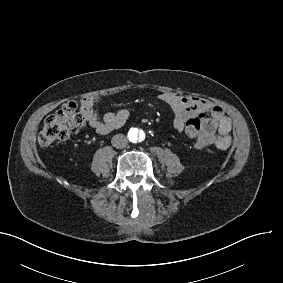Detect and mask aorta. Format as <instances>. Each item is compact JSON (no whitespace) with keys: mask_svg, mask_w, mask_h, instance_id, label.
Segmentation results:
<instances>
[{"mask_svg":"<svg viewBox=\"0 0 283 283\" xmlns=\"http://www.w3.org/2000/svg\"><path fill=\"white\" fill-rule=\"evenodd\" d=\"M146 137L145 132L139 128H131L128 132L129 141L132 143L142 142Z\"/></svg>","mask_w":283,"mask_h":283,"instance_id":"aorta-1","label":"aorta"}]
</instances>
